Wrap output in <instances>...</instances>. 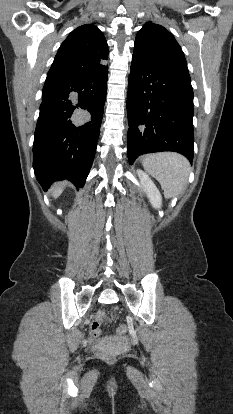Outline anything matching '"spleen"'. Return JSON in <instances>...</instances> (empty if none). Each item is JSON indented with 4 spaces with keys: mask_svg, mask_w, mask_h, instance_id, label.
I'll return each mask as SVG.
<instances>
[{
    "mask_svg": "<svg viewBox=\"0 0 233 414\" xmlns=\"http://www.w3.org/2000/svg\"><path fill=\"white\" fill-rule=\"evenodd\" d=\"M142 165L167 197H176L186 189L190 164L184 156L174 152L150 154L142 159Z\"/></svg>",
    "mask_w": 233,
    "mask_h": 414,
    "instance_id": "1",
    "label": "spleen"
}]
</instances>
